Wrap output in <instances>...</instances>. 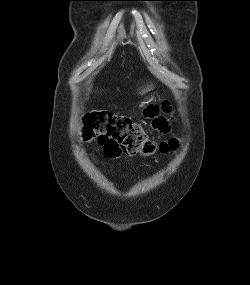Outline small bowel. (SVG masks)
I'll return each mask as SVG.
<instances>
[{
    "mask_svg": "<svg viewBox=\"0 0 250 285\" xmlns=\"http://www.w3.org/2000/svg\"><path fill=\"white\" fill-rule=\"evenodd\" d=\"M163 110H167V107L164 106L163 107ZM146 115L153 119V127L154 128H150V133H155V128L161 130V131H166L168 129L167 127V123L166 121L164 120V118L162 117H157L158 115V109L154 106H150L148 109H147V112H146Z\"/></svg>",
    "mask_w": 250,
    "mask_h": 285,
    "instance_id": "obj_1",
    "label": "small bowel"
}]
</instances>
